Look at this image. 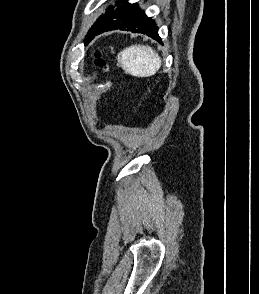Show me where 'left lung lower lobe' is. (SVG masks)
Returning a JSON list of instances; mask_svg holds the SVG:
<instances>
[{"label": "left lung lower lobe", "instance_id": "left-lung-lower-lobe-1", "mask_svg": "<svg viewBox=\"0 0 259 294\" xmlns=\"http://www.w3.org/2000/svg\"><path fill=\"white\" fill-rule=\"evenodd\" d=\"M114 29L143 33L161 42L158 35V27L155 25L154 20L147 17L136 3H123L117 6L97 29L94 37L100 33Z\"/></svg>", "mask_w": 259, "mask_h": 294}]
</instances>
